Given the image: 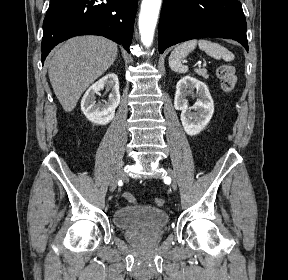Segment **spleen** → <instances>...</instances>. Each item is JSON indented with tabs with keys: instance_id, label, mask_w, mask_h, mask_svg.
I'll use <instances>...</instances> for the list:
<instances>
[{
	"instance_id": "1",
	"label": "spleen",
	"mask_w": 288,
	"mask_h": 280,
	"mask_svg": "<svg viewBox=\"0 0 288 280\" xmlns=\"http://www.w3.org/2000/svg\"><path fill=\"white\" fill-rule=\"evenodd\" d=\"M197 45L201 50L205 51L207 55L215 59H223L227 62L234 60L233 53L224 46L206 39H193L181 43L171 52L169 57V67L171 70L177 73L188 72V66L182 64V59L192 52Z\"/></svg>"
}]
</instances>
